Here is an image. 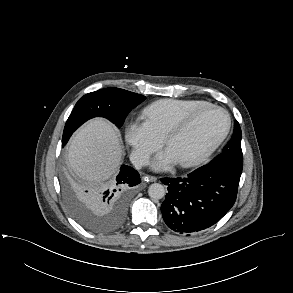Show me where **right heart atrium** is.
Instances as JSON below:
<instances>
[{"instance_id": "d8ad5b80", "label": "right heart atrium", "mask_w": 293, "mask_h": 293, "mask_svg": "<svg viewBox=\"0 0 293 293\" xmlns=\"http://www.w3.org/2000/svg\"><path fill=\"white\" fill-rule=\"evenodd\" d=\"M125 140L131 147V157L137 165H142L163 143V137L141 117L128 119Z\"/></svg>"}]
</instances>
